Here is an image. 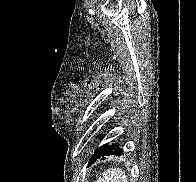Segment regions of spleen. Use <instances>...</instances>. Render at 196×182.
<instances>
[{"mask_svg": "<svg viewBox=\"0 0 196 182\" xmlns=\"http://www.w3.org/2000/svg\"><path fill=\"white\" fill-rule=\"evenodd\" d=\"M96 182H127L125 172L119 168H109Z\"/></svg>", "mask_w": 196, "mask_h": 182, "instance_id": "3e777b00", "label": "spleen"}]
</instances>
